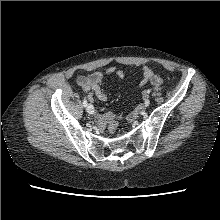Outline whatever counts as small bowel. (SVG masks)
Returning <instances> with one entry per match:
<instances>
[{
    "instance_id": "1",
    "label": "small bowel",
    "mask_w": 220,
    "mask_h": 220,
    "mask_svg": "<svg viewBox=\"0 0 220 220\" xmlns=\"http://www.w3.org/2000/svg\"><path fill=\"white\" fill-rule=\"evenodd\" d=\"M142 79L140 85L151 84L154 86L160 85L162 82L161 77L156 74L150 67L143 66L141 69ZM106 75L116 74L119 77H123L124 73L122 70L116 67H109L106 72ZM104 79V74L102 72H93L88 76H80L77 78L76 82L81 89L89 94L90 99L93 96H96L100 101H106L108 99V94L102 89V82ZM95 120L100 126L104 125V117L100 114L95 116Z\"/></svg>"
}]
</instances>
